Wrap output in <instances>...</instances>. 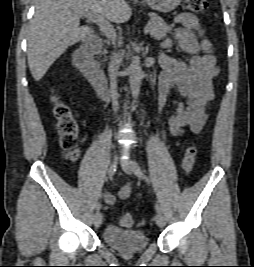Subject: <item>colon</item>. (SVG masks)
<instances>
[{
  "label": "colon",
  "instance_id": "1",
  "mask_svg": "<svg viewBox=\"0 0 254 267\" xmlns=\"http://www.w3.org/2000/svg\"><path fill=\"white\" fill-rule=\"evenodd\" d=\"M186 9L193 14H202L208 7L207 0H185ZM52 114L56 122V130L59 142L66 155L71 160H77L80 156L78 147L79 125L69 104L53 97ZM197 156V148L190 144L184 154L182 168L184 172L190 173L194 167ZM120 224L124 227H132L135 222L131 214L123 213L120 216Z\"/></svg>",
  "mask_w": 254,
  "mask_h": 267
}]
</instances>
